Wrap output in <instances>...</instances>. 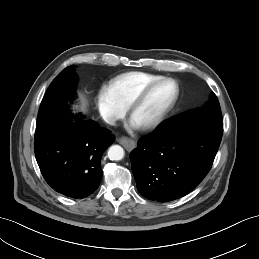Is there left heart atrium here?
<instances>
[{"label":"left heart atrium","instance_id":"left-heart-atrium-1","mask_svg":"<svg viewBox=\"0 0 259 259\" xmlns=\"http://www.w3.org/2000/svg\"><path fill=\"white\" fill-rule=\"evenodd\" d=\"M130 126H131L132 128H135V129L139 127V125L136 124L132 119H131V124H130Z\"/></svg>","mask_w":259,"mask_h":259}]
</instances>
